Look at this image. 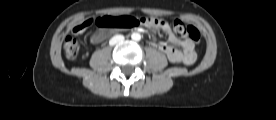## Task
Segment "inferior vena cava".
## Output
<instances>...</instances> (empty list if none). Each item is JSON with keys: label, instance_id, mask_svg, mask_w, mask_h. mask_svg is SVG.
<instances>
[{"label": "inferior vena cava", "instance_id": "obj_1", "mask_svg": "<svg viewBox=\"0 0 276 120\" xmlns=\"http://www.w3.org/2000/svg\"><path fill=\"white\" fill-rule=\"evenodd\" d=\"M123 40H124V36L116 35V36L111 38V40L109 41V44L113 46V45H115L118 42L123 41Z\"/></svg>", "mask_w": 276, "mask_h": 120}]
</instances>
